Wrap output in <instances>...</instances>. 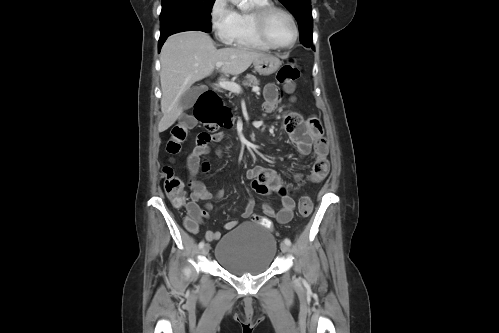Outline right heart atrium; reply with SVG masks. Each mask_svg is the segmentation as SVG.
I'll use <instances>...</instances> for the list:
<instances>
[{
    "label": "right heart atrium",
    "mask_w": 499,
    "mask_h": 333,
    "mask_svg": "<svg viewBox=\"0 0 499 333\" xmlns=\"http://www.w3.org/2000/svg\"><path fill=\"white\" fill-rule=\"evenodd\" d=\"M210 25L216 38L230 44L236 29V11L228 0H213L209 11Z\"/></svg>",
    "instance_id": "obj_1"
}]
</instances>
